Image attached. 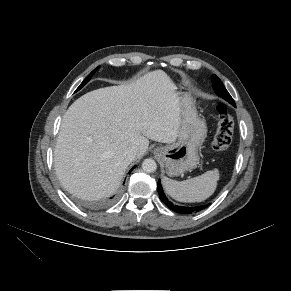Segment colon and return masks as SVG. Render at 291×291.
Returning a JSON list of instances; mask_svg holds the SVG:
<instances>
[{
	"label": "colon",
	"instance_id": "5ec220e1",
	"mask_svg": "<svg viewBox=\"0 0 291 291\" xmlns=\"http://www.w3.org/2000/svg\"><path fill=\"white\" fill-rule=\"evenodd\" d=\"M218 124L215 135L212 140V149L215 152L225 151L232 141L234 122L225 104L217 106Z\"/></svg>",
	"mask_w": 291,
	"mask_h": 291
}]
</instances>
